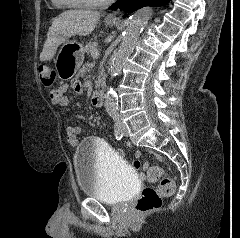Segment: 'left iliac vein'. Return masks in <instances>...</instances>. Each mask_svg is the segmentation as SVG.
I'll return each mask as SVG.
<instances>
[{"instance_id":"obj_1","label":"left iliac vein","mask_w":240,"mask_h":238,"mask_svg":"<svg viewBox=\"0 0 240 238\" xmlns=\"http://www.w3.org/2000/svg\"><path fill=\"white\" fill-rule=\"evenodd\" d=\"M122 132L125 136L128 135V128L124 123H121Z\"/></svg>"}]
</instances>
